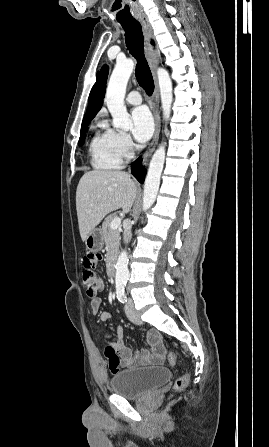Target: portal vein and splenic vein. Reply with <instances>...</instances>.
I'll return each instance as SVG.
<instances>
[{
    "mask_svg": "<svg viewBox=\"0 0 269 447\" xmlns=\"http://www.w3.org/2000/svg\"><path fill=\"white\" fill-rule=\"evenodd\" d=\"M121 224V218H114V220H112L110 227L111 229H117V227H119V225Z\"/></svg>",
    "mask_w": 269,
    "mask_h": 447,
    "instance_id": "portal-vein-and-splenic-vein-1",
    "label": "portal vein and splenic vein"
}]
</instances>
